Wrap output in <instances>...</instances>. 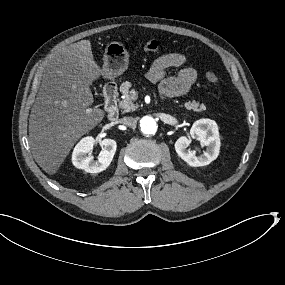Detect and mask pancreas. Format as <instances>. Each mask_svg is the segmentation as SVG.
Wrapping results in <instances>:
<instances>
[{"instance_id": "pancreas-1", "label": "pancreas", "mask_w": 285, "mask_h": 285, "mask_svg": "<svg viewBox=\"0 0 285 285\" xmlns=\"http://www.w3.org/2000/svg\"><path fill=\"white\" fill-rule=\"evenodd\" d=\"M119 90L120 92L125 94V98L122 101H120V107L126 111H134L137 108V106L132 102V99L128 95V93H130L131 91L130 83L128 82L122 83L119 87ZM184 107L188 110H193L196 112H201L206 109L204 104H200L199 102L195 100L186 102L184 104Z\"/></svg>"}]
</instances>
